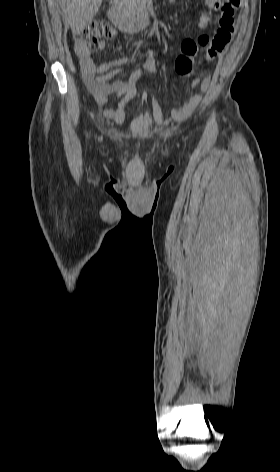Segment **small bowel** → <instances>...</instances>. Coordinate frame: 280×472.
<instances>
[{"mask_svg": "<svg viewBox=\"0 0 280 472\" xmlns=\"http://www.w3.org/2000/svg\"><path fill=\"white\" fill-rule=\"evenodd\" d=\"M205 4L212 8V0H204ZM212 24L210 14L202 13L199 17V25L202 29H208ZM235 31L234 22L229 25L219 24L214 36L202 35L197 40L186 39L181 45L182 54L178 59H188L193 62L194 57L201 49L206 50V57L211 60L214 56L221 53L226 45L230 42ZM105 43H99V48H104ZM75 52L79 58L81 66L82 80L94 97L96 102L103 108L105 116L111 120H121L124 113L125 105L133 98L136 93L137 83L145 74L155 75L157 73V65L153 56L144 59L139 70L134 71L127 81L110 82L115 76L124 70L127 58L122 57L112 59L103 63H96L91 55L88 46L82 43H75ZM211 83L209 76L196 78L192 83L191 94L171 111V118L175 121H183L187 119L202 101V93L206 92ZM149 85L146 89H149ZM199 88L201 93H195L194 90ZM122 97L117 109L110 107V98ZM153 110L155 119L162 122V111L155 98H153Z\"/></svg>", "mask_w": 280, "mask_h": 472, "instance_id": "c3829d8e", "label": "small bowel"}]
</instances>
